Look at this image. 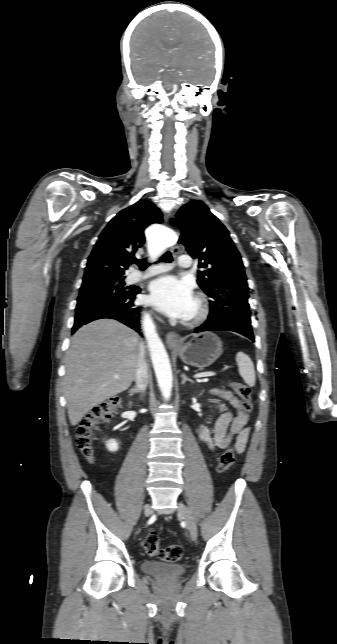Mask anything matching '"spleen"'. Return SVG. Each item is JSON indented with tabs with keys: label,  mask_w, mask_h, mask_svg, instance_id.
Wrapping results in <instances>:
<instances>
[{
	"label": "spleen",
	"mask_w": 337,
	"mask_h": 644,
	"mask_svg": "<svg viewBox=\"0 0 337 644\" xmlns=\"http://www.w3.org/2000/svg\"><path fill=\"white\" fill-rule=\"evenodd\" d=\"M236 361L239 368V374L242 379L248 386L253 387L256 382V377L252 360L247 354L238 352L236 355Z\"/></svg>",
	"instance_id": "3e777b00"
}]
</instances>
